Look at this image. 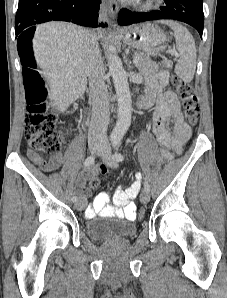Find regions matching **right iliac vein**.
I'll return each instance as SVG.
<instances>
[{
    "label": "right iliac vein",
    "mask_w": 227,
    "mask_h": 298,
    "mask_svg": "<svg viewBox=\"0 0 227 298\" xmlns=\"http://www.w3.org/2000/svg\"><path fill=\"white\" fill-rule=\"evenodd\" d=\"M99 149H100V144L99 143L92 142V143L89 144V150H90L91 153H96ZM84 206H85V203L81 199L77 200L75 202V208L77 210H82L84 208Z\"/></svg>",
    "instance_id": "63e3f726"
}]
</instances>
